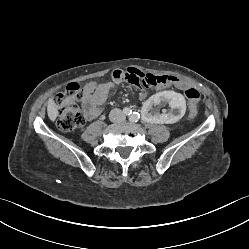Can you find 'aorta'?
<instances>
[{
	"label": "aorta",
	"mask_w": 249,
	"mask_h": 249,
	"mask_svg": "<svg viewBox=\"0 0 249 249\" xmlns=\"http://www.w3.org/2000/svg\"><path fill=\"white\" fill-rule=\"evenodd\" d=\"M138 118H139V116H138V114L135 113V112H134L133 114H131L130 117H129V119H130L131 121H137Z\"/></svg>",
	"instance_id": "obj_1"
}]
</instances>
